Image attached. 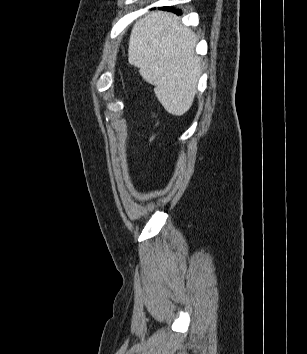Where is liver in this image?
Segmentation results:
<instances>
[{
  "mask_svg": "<svg viewBox=\"0 0 307 354\" xmlns=\"http://www.w3.org/2000/svg\"><path fill=\"white\" fill-rule=\"evenodd\" d=\"M179 20L165 11L146 15L134 24L128 48L129 63L139 68L164 109L175 116L192 106L201 75L197 38Z\"/></svg>",
  "mask_w": 307,
  "mask_h": 354,
  "instance_id": "1",
  "label": "liver"
}]
</instances>
